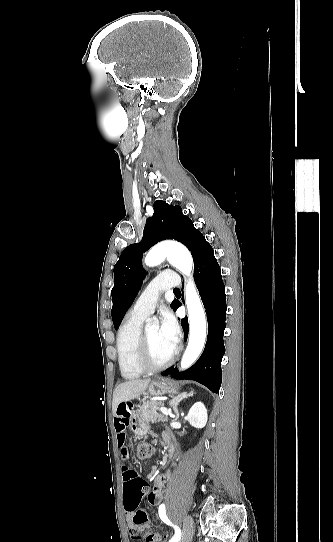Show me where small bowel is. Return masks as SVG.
I'll return each mask as SVG.
<instances>
[{"instance_id": "small-bowel-1", "label": "small bowel", "mask_w": 333, "mask_h": 542, "mask_svg": "<svg viewBox=\"0 0 333 542\" xmlns=\"http://www.w3.org/2000/svg\"><path fill=\"white\" fill-rule=\"evenodd\" d=\"M132 402L130 400H123L121 402V405L116 410L115 418H114V429H115V437H116V445L117 449L122 457L123 460H125L128 457V451H129V443H128V434L127 429L129 426V423L132 420ZM166 435H164L163 439L166 444H169L170 442L166 439ZM130 472L127 470L125 466L122 467V473H123V481L126 485V483L130 479ZM171 477V471H167L166 473H163L161 475H158L154 479V490L149 493L148 495V501L151 505H159L163 498H164V491L163 488L165 484L169 481ZM130 492L126 488V496L129 497ZM143 511V510H140ZM141 514V513H140ZM139 513H134L131 509H128L126 513L124 514V519L129 520L128 523V529L131 535L136 538L138 535L145 531L149 525L148 524H140L137 522V517ZM157 536L162 540L163 535L160 533H156ZM161 542V541H160Z\"/></svg>"}]
</instances>
